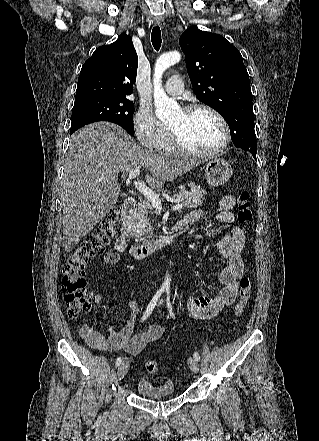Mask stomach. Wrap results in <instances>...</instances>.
Returning <instances> with one entry per match:
<instances>
[{
    "instance_id": "obj_1",
    "label": "stomach",
    "mask_w": 319,
    "mask_h": 441,
    "mask_svg": "<svg viewBox=\"0 0 319 441\" xmlns=\"http://www.w3.org/2000/svg\"><path fill=\"white\" fill-rule=\"evenodd\" d=\"M232 167L223 159H211L205 165V178L211 186L224 184L232 175Z\"/></svg>"
}]
</instances>
